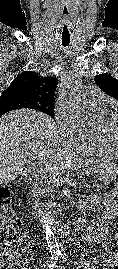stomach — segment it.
<instances>
[{
  "instance_id": "stomach-1",
  "label": "stomach",
  "mask_w": 118,
  "mask_h": 269,
  "mask_svg": "<svg viewBox=\"0 0 118 269\" xmlns=\"http://www.w3.org/2000/svg\"><path fill=\"white\" fill-rule=\"evenodd\" d=\"M90 170L98 181L105 184L113 182L118 176V168L114 164L108 162L95 164Z\"/></svg>"
}]
</instances>
